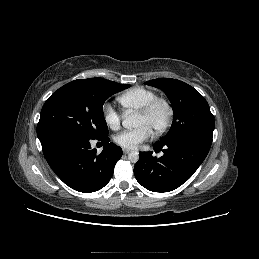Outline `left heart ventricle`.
Returning <instances> with one entry per match:
<instances>
[{"mask_svg": "<svg viewBox=\"0 0 259 259\" xmlns=\"http://www.w3.org/2000/svg\"><path fill=\"white\" fill-rule=\"evenodd\" d=\"M167 112L164 106H157L149 116H142L138 114L136 126H147L153 132L158 129L165 121Z\"/></svg>", "mask_w": 259, "mask_h": 259, "instance_id": "left-heart-ventricle-1", "label": "left heart ventricle"}]
</instances>
